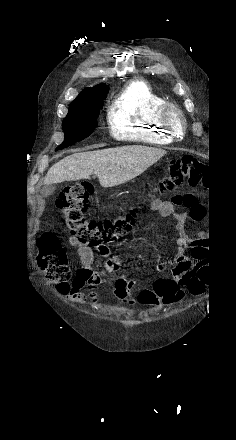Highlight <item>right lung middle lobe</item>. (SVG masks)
Returning a JSON list of instances; mask_svg holds the SVG:
<instances>
[{
	"instance_id": "right-lung-middle-lobe-1",
	"label": "right lung middle lobe",
	"mask_w": 236,
	"mask_h": 440,
	"mask_svg": "<svg viewBox=\"0 0 236 440\" xmlns=\"http://www.w3.org/2000/svg\"><path fill=\"white\" fill-rule=\"evenodd\" d=\"M102 97L72 102L65 117L62 128L65 133L64 142L56 150L64 149L88 137L97 126L99 110L103 107Z\"/></svg>"
}]
</instances>
